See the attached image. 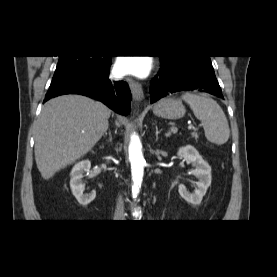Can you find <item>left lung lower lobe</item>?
I'll list each match as a JSON object with an SVG mask.
<instances>
[{
  "instance_id": "left-lung-lower-lobe-1",
  "label": "left lung lower lobe",
  "mask_w": 277,
  "mask_h": 277,
  "mask_svg": "<svg viewBox=\"0 0 277 277\" xmlns=\"http://www.w3.org/2000/svg\"><path fill=\"white\" fill-rule=\"evenodd\" d=\"M197 90L223 98L211 64H161L150 85L151 103L177 91Z\"/></svg>"
}]
</instances>
